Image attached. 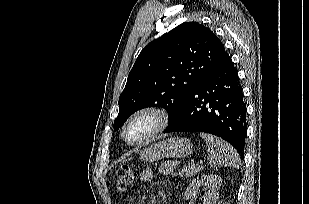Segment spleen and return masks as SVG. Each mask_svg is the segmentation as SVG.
Returning a JSON list of instances; mask_svg holds the SVG:
<instances>
[{
  "instance_id": "3e777b00",
  "label": "spleen",
  "mask_w": 309,
  "mask_h": 204,
  "mask_svg": "<svg viewBox=\"0 0 309 204\" xmlns=\"http://www.w3.org/2000/svg\"><path fill=\"white\" fill-rule=\"evenodd\" d=\"M200 136L206 141L208 147L207 161L211 167L230 166L239 168L240 157L231 145L213 135L200 133Z\"/></svg>"
}]
</instances>
